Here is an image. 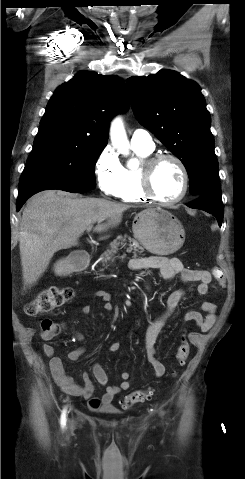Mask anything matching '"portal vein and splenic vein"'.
Masks as SVG:
<instances>
[{
	"label": "portal vein and splenic vein",
	"instance_id": "18ae733b",
	"mask_svg": "<svg viewBox=\"0 0 245 479\" xmlns=\"http://www.w3.org/2000/svg\"><path fill=\"white\" fill-rule=\"evenodd\" d=\"M91 230V228H88L87 231L89 232Z\"/></svg>",
	"mask_w": 245,
	"mask_h": 479
}]
</instances>
